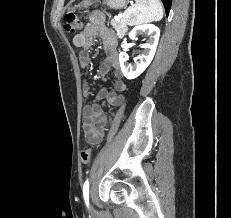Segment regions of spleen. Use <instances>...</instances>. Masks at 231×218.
Segmentation results:
<instances>
[{"label": "spleen", "mask_w": 231, "mask_h": 218, "mask_svg": "<svg viewBox=\"0 0 231 218\" xmlns=\"http://www.w3.org/2000/svg\"><path fill=\"white\" fill-rule=\"evenodd\" d=\"M163 18V8L160 0H135L123 14V20L128 25H138L145 22L159 21Z\"/></svg>", "instance_id": "spleen-1"}]
</instances>
